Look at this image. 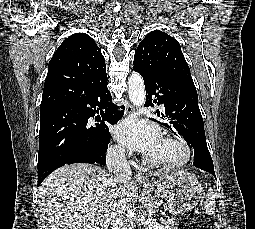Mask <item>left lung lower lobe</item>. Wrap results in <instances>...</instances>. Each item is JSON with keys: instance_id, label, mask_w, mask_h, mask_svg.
<instances>
[{"instance_id": "obj_1", "label": "left lung lower lobe", "mask_w": 255, "mask_h": 229, "mask_svg": "<svg viewBox=\"0 0 255 229\" xmlns=\"http://www.w3.org/2000/svg\"><path fill=\"white\" fill-rule=\"evenodd\" d=\"M143 79L146 88V106L164 104L165 115L154 113L166 122H159L172 131L188 136L194 148L193 166L211 173L215 177L212 158L207 148L204 123L198 106V95L194 84L167 74L143 73L133 66ZM152 95L156 99L152 103ZM154 120V119H153Z\"/></svg>"}]
</instances>
